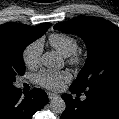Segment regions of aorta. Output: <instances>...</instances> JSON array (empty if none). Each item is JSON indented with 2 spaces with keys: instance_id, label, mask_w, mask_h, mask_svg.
<instances>
[{
  "instance_id": "1",
  "label": "aorta",
  "mask_w": 119,
  "mask_h": 119,
  "mask_svg": "<svg viewBox=\"0 0 119 119\" xmlns=\"http://www.w3.org/2000/svg\"><path fill=\"white\" fill-rule=\"evenodd\" d=\"M42 64L50 69H60L63 66L61 58L55 52L43 54ZM50 109L54 113L61 114L66 109V103L61 97L56 96L50 101Z\"/></svg>"
}]
</instances>
